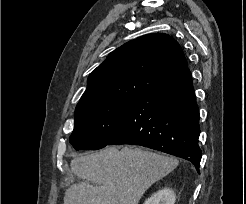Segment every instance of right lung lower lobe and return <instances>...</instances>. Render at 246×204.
<instances>
[{"mask_svg": "<svg viewBox=\"0 0 246 204\" xmlns=\"http://www.w3.org/2000/svg\"><path fill=\"white\" fill-rule=\"evenodd\" d=\"M199 110L189 69L138 96L109 145L132 144L193 163L199 171Z\"/></svg>", "mask_w": 246, "mask_h": 204, "instance_id": "98d812e1", "label": "right lung lower lobe"}]
</instances>
